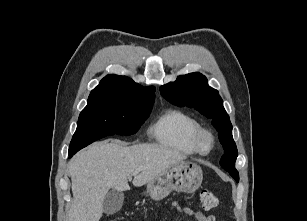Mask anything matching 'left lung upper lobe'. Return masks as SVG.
<instances>
[{
  "label": "left lung upper lobe",
  "instance_id": "1",
  "mask_svg": "<svg viewBox=\"0 0 307 221\" xmlns=\"http://www.w3.org/2000/svg\"><path fill=\"white\" fill-rule=\"evenodd\" d=\"M160 92L172 104L195 108L212 118L224 149L220 165L238 182L239 174L235 169L238 153L232 136V124L218 91L208 86L206 77L198 72L179 76L175 82L162 85Z\"/></svg>",
  "mask_w": 307,
  "mask_h": 221
}]
</instances>
